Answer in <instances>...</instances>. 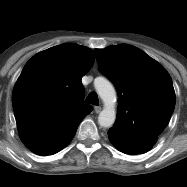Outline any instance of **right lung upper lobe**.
<instances>
[{
	"mask_svg": "<svg viewBox=\"0 0 187 187\" xmlns=\"http://www.w3.org/2000/svg\"><path fill=\"white\" fill-rule=\"evenodd\" d=\"M93 63L92 50L73 43L44 50L26 63L12 105L20 138L32 152L56 150L92 111L84 104L81 78Z\"/></svg>",
	"mask_w": 187,
	"mask_h": 187,
	"instance_id": "cb5924a9",
	"label": "right lung upper lobe"
}]
</instances>
